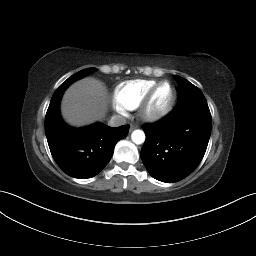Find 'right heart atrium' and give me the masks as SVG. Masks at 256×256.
I'll return each mask as SVG.
<instances>
[{"label": "right heart atrium", "mask_w": 256, "mask_h": 256, "mask_svg": "<svg viewBox=\"0 0 256 256\" xmlns=\"http://www.w3.org/2000/svg\"><path fill=\"white\" fill-rule=\"evenodd\" d=\"M117 110H118V112H119V113H121V114H125V111H124V110L119 109V108H117Z\"/></svg>", "instance_id": "1"}]
</instances>
